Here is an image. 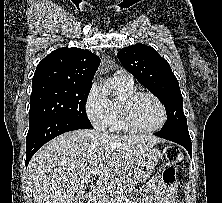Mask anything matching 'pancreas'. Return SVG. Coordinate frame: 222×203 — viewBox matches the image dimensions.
<instances>
[{
    "label": "pancreas",
    "instance_id": "pancreas-1",
    "mask_svg": "<svg viewBox=\"0 0 222 203\" xmlns=\"http://www.w3.org/2000/svg\"><path fill=\"white\" fill-rule=\"evenodd\" d=\"M131 179L128 177L118 179L111 183L105 189V195L102 198V203H114V198L117 194H121L124 191L125 186H130Z\"/></svg>",
    "mask_w": 222,
    "mask_h": 203
}]
</instances>
